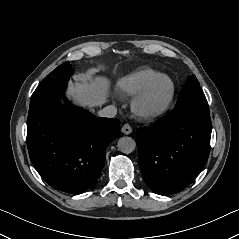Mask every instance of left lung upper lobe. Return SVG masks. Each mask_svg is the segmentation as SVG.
<instances>
[{"mask_svg": "<svg viewBox=\"0 0 239 239\" xmlns=\"http://www.w3.org/2000/svg\"><path fill=\"white\" fill-rule=\"evenodd\" d=\"M188 102L207 103V100L200 89V84L195 75L188 77L186 84L179 94L176 107Z\"/></svg>", "mask_w": 239, "mask_h": 239, "instance_id": "1", "label": "left lung upper lobe"}]
</instances>
